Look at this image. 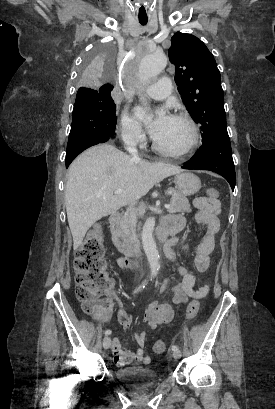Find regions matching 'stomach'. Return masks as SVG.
I'll use <instances>...</instances> for the list:
<instances>
[{
    "label": "stomach",
    "mask_w": 275,
    "mask_h": 409,
    "mask_svg": "<svg viewBox=\"0 0 275 409\" xmlns=\"http://www.w3.org/2000/svg\"><path fill=\"white\" fill-rule=\"evenodd\" d=\"M174 182L177 190L185 196L195 194L201 188V180L193 172H179L176 174Z\"/></svg>",
    "instance_id": "obj_1"
}]
</instances>
